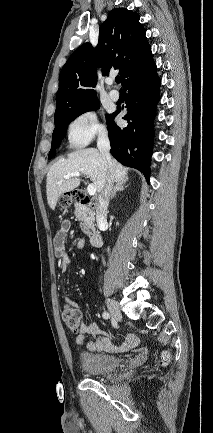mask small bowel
<instances>
[{
  "label": "small bowel",
  "instance_id": "1",
  "mask_svg": "<svg viewBox=\"0 0 213 433\" xmlns=\"http://www.w3.org/2000/svg\"><path fill=\"white\" fill-rule=\"evenodd\" d=\"M70 227L71 224L68 220L62 221L53 238L54 254L59 260V268L62 274H66L68 272L72 262V257L67 253L65 247L66 238ZM76 245L78 248H82L85 245V240L83 238L79 239ZM65 302L67 304H73L67 296H65ZM87 336H91L94 339L88 341ZM138 343V336L136 334H129L122 344L116 346L112 344L109 333L101 330L96 323L81 324L79 327V333L76 337L77 345H85L88 350L92 352L105 351L108 353H121L137 346Z\"/></svg>",
  "mask_w": 213,
  "mask_h": 433
}]
</instances>
